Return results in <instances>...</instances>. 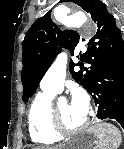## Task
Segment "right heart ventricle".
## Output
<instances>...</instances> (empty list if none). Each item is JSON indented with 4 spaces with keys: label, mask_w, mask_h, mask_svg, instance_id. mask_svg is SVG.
<instances>
[{
    "label": "right heart ventricle",
    "mask_w": 124,
    "mask_h": 149,
    "mask_svg": "<svg viewBox=\"0 0 124 149\" xmlns=\"http://www.w3.org/2000/svg\"><path fill=\"white\" fill-rule=\"evenodd\" d=\"M54 92L42 91L37 94L28 111V131L31 140L38 145H52L59 142L51 124V103Z\"/></svg>",
    "instance_id": "e07e8e85"
}]
</instances>
